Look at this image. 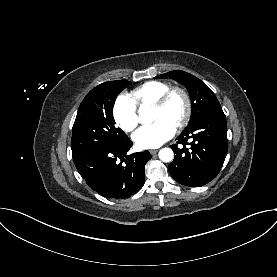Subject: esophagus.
I'll return each mask as SVG.
<instances>
[{"label": "esophagus", "instance_id": "1", "mask_svg": "<svg viewBox=\"0 0 277 277\" xmlns=\"http://www.w3.org/2000/svg\"><path fill=\"white\" fill-rule=\"evenodd\" d=\"M157 152H158V149H151V150H150V153H151L152 155L156 154Z\"/></svg>", "mask_w": 277, "mask_h": 277}]
</instances>
